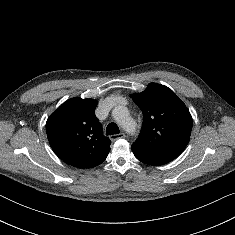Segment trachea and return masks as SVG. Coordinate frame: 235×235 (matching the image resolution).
I'll list each match as a JSON object with an SVG mask.
<instances>
[{"label":"trachea","mask_w":235,"mask_h":235,"mask_svg":"<svg viewBox=\"0 0 235 235\" xmlns=\"http://www.w3.org/2000/svg\"><path fill=\"white\" fill-rule=\"evenodd\" d=\"M120 130L117 124L115 123H109L107 128H106V135H114V134H119Z\"/></svg>","instance_id":"3493384b"}]
</instances>
